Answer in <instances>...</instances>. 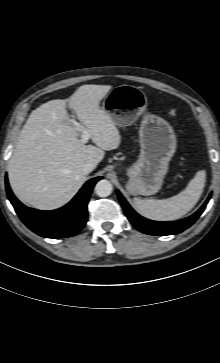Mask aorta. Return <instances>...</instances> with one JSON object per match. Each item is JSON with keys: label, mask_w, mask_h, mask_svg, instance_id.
Returning <instances> with one entry per match:
<instances>
[{"label": "aorta", "mask_w": 220, "mask_h": 363, "mask_svg": "<svg viewBox=\"0 0 220 363\" xmlns=\"http://www.w3.org/2000/svg\"><path fill=\"white\" fill-rule=\"evenodd\" d=\"M112 184L109 180L102 179L95 185V193L99 197H107L112 193Z\"/></svg>", "instance_id": "762f6f07"}]
</instances>
